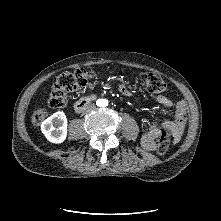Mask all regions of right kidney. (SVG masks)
<instances>
[{
    "mask_svg": "<svg viewBox=\"0 0 221 221\" xmlns=\"http://www.w3.org/2000/svg\"><path fill=\"white\" fill-rule=\"evenodd\" d=\"M67 125L65 113L59 111L42 122L41 131L48 141L58 144L67 137Z\"/></svg>",
    "mask_w": 221,
    "mask_h": 221,
    "instance_id": "ca27d5eb",
    "label": "right kidney"
}]
</instances>
